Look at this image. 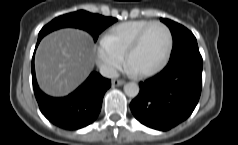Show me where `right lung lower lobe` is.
I'll use <instances>...</instances> for the list:
<instances>
[{"instance_id":"right-lung-lower-lobe-1","label":"right lung lower lobe","mask_w":238,"mask_h":145,"mask_svg":"<svg viewBox=\"0 0 238 145\" xmlns=\"http://www.w3.org/2000/svg\"><path fill=\"white\" fill-rule=\"evenodd\" d=\"M41 39H38L36 48ZM35 55V52H34ZM34 55L32 59V82L36 100L42 114L54 125L65 130H77L95 121L102 106L105 92L111 80L92 72L87 80L73 93L61 98L44 94L38 87Z\"/></svg>"}]
</instances>
